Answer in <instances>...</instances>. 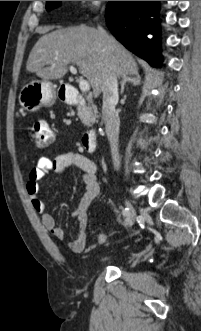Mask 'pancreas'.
<instances>
[{"instance_id": "1", "label": "pancreas", "mask_w": 201, "mask_h": 331, "mask_svg": "<svg viewBox=\"0 0 201 331\" xmlns=\"http://www.w3.org/2000/svg\"><path fill=\"white\" fill-rule=\"evenodd\" d=\"M77 111H78V116L84 125L89 126L96 121L98 111L95 105L92 106L79 105Z\"/></svg>"}]
</instances>
